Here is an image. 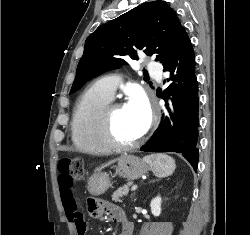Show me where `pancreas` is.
<instances>
[{"mask_svg":"<svg viewBox=\"0 0 250 235\" xmlns=\"http://www.w3.org/2000/svg\"><path fill=\"white\" fill-rule=\"evenodd\" d=\"M130 184L124 185L118 188L112 195V200L114 202H122V194L124 191H128Z\"/></svg>","mask_w":250,"mask_h":235,"instance_id":"pancreas-1","label":"pancreas"}]
</instances>
